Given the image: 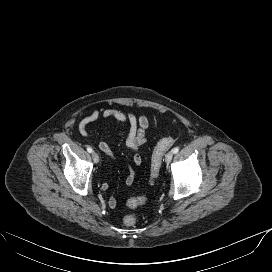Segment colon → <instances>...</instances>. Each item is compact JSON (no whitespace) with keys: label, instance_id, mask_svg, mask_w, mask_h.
<instances>
[{"label":"colon","instance_id":"obj_1","mask_svg":"<svg viewBox=\"0 0 272 272\" xmlns=\"http://www.w3.org/2000/svg\"><path fill=\"white\" fill-rule=\"evenodd\" d=\"M175 143L173 137H165L160 139L154 146L151 154V165H150V184H153L159 175L162 159L165 152ZM147 202L146 196H138L130 198L127 201V206L129 208H136ZM137 222V218L134 214H127L123 217V224L127 227L134 226Z\"/></svg>","mask_w":272,"mask_h":272}]
</instances>
